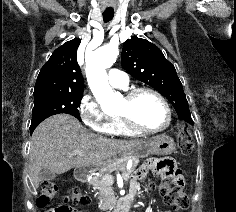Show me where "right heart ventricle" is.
Wrapping results in <instances>:
<instances>
[{
  "label": "right heart ventricle",
  "mask_w": 236,
  "mask_h": 212,
  "mask_svg": "<svg viewBox=\"0 0 236 212\" xmlns=\"http://www.w3.org/2000/svg\"><path fill=\"white\" fill-rule=\"evenodd\" d=\"M107 134L116 136H136L137 133L129 130L118 116H112L109 119V123L106 129Z\"/></svg>",
  "instance_id": "e07e8e85"
}]
</instances>
